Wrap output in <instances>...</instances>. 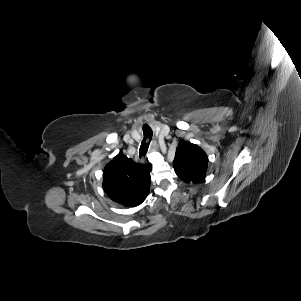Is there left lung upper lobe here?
Instances as JSON below:
<instances>
[{"label":"left lung upper lobe","mask_w":301,"mask_h":301,"mask_svg":"<svg viewBox=\"0 0 301 301\" xmlns=\"http://www.w3.org/2000/svg\"><path fill=\"white\" fill-rule=\"evenodd\" d=\"M208 157L197 145L181 141L176 149L174 170L186 183H199L205 178Z\"/></svg>","instance_id":"obj_1"}]
</instances>
